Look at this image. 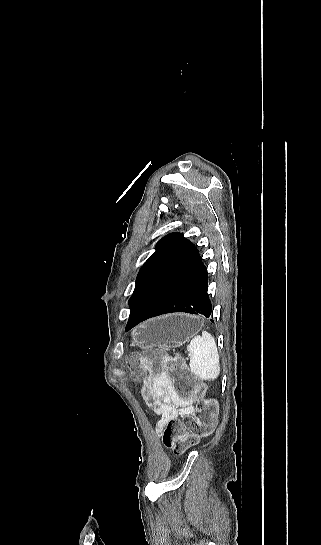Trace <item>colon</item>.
Listing matches in <instances>:
<instances>
[{"label":"colon","mask_w":321,"mask_h":545,"mask_svg":"<svg viewBox=\"0 0 321 545\" xmlns=\"http://www.w3.org/2000/svg\"><path fill=\"white\" fill-rule=\"evenodd\" d=\"M128 362L134 369L135 378H168L172 389L180 397L192 398L197 402L195 413L184 421L172 419L164 425L162 436L167 448L175 454H183L214 431L217 405L205 397L204 385L179 358H169L151 351L143 356H133Z\"/></svg>","instance_id":"5ec220e1"}]
</instances>
